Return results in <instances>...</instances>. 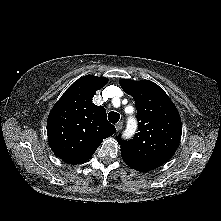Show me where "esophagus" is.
I'll return each instance as SVG.
<instances>
[{
	"label": "esophagus",
	"mask_w": 221,
	"mask_h": 221,
	"mask_svg": "<svg viewBox=\"0 0 221 221\" xmlns=\"http://www.w3.org/2000/svg\"><path fill=\"white\" fill-rule=\"evenodd\" d=\"M115 127H116V130H117V131H120V130L122 129V127H123V123H122V122H118V123L115 125Z\"/></svg>",
	"instance_id": "esophagus-1"
}]
</instances>
